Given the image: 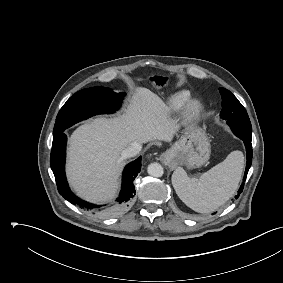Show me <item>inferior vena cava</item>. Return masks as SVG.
Instances as JSON below:
<instances>
[{
    "mask_svg": "<svg viewBox=\"0 0 283 283\" xmlns=\"http://www.w3.org/2000/svg\"><path fill=\"white\" fill-rule=\"evenodd\" d=\"M142 149L141 144L139 143H132L129 147H127L123 152L121 153L122 158L127 159L136 156L140 153Z\"/></svg>",
    "mask_w": 283,
    "mask_h": 283,
    "instance_id": "obj_1",
    "label": "inferior vena cava"
}]
</instances>
